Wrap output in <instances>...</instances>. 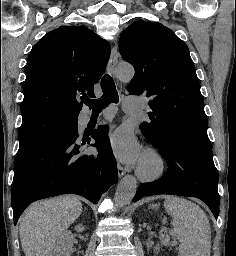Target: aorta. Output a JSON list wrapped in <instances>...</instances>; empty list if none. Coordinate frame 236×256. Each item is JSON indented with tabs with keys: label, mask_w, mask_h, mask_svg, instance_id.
Wrapping results in <instances>:
<instances>
[{
	"label": "aorta",
	"mask_w": 236,
	"mask_h": 256,
	"mask_svg": "<svg viewBox=\"0 0 236 256\" xmlns=\"http://www.w3.org/2000/svg\"><path fill=\"white\" fill-rule=\"evenodd\" d=\"M119 80L128 82L134 76V69L131 65L120 64L116 69ZM137 191V181L135 177L127 175L119 182L115 192V202L118 206L129 204Z\"/></svg>",
	"instance_id": "aorta-1"
}]
</instances>
